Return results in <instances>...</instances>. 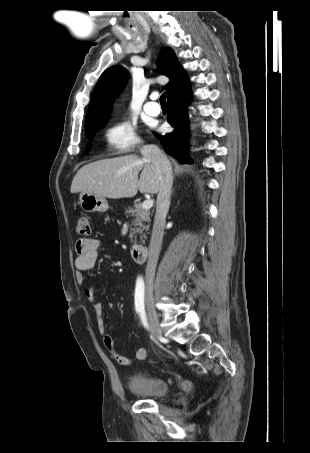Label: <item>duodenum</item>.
I'll return each mask as SVG.
<instances>
[{
    "label": "duodenum",
    "mask_w": 310,
    "mask_h": 453,
    "mask_svg": "<svg viewBox=\"0 0 310 453\" xmlns=\"http://www.w3.org/2000/svg\"><path fill=\"white\" fill-rule=\"evenodd\" d=\"M131 254L136 262L144 263L148 258L149 250L146 245L134 244L131 247Z\"/></svg>",
    "instance_id": "duodenum-1"
}]
</instances>
